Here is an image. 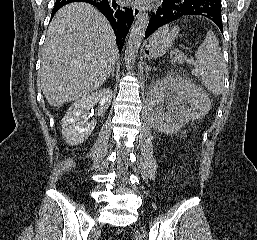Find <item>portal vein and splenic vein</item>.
<instances>
[{
    "label": "portal vein and splenic vein",
    "instance_id": "1",
    "mask_svg": "<svg viewBox=\"0 0 257 240\" xmlns=\"http://www.w3.org/2000/svg\"><path fill=\"white\" fill-rule=\"evenodd\" d=\"M184 61H189L190 63H195L193 59H188L186 56L184 55H177L175 57V59L172 61V63H179L182 64Z\"/></svg>",
    "mask_w": 257,
    "mask_h": 240
}]
</instances>
